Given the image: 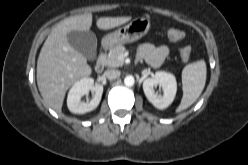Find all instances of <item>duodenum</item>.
I'll use <instances>...</instances> for the list:
<instances>
[{"mask_svg":"<svg viewBox=\"0 0 248 165\" xmlns=\"http://www.w3.org/2000/svg\"><path fill=\"white\" fill-rule=\"evenodd\" d=\"M105 52L106 49L102 48L95 62L94 69L96 73H102L105 69Z\"/></svg>","mask_w":248,"mask_h":165,"instance_id":"410a0bca","label":"duodenum"}]
</instances>
